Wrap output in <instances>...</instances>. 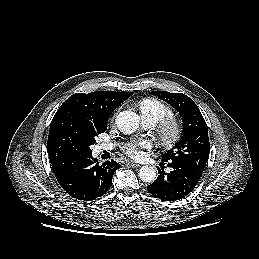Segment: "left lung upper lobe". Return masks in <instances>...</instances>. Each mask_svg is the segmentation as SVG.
I'll return each mask as SVG.
<instances>
[{"instance_id":"1","label":"left lung upper lobe","mask_w":259,"mask_h":259,"mask_svg":"<svg viewBox=\"0 0 259 259\" xmlns=\"http://www.w3.org/2000/svg\"><path fill=\"white\" fill-rule=\"evenodd\" d=\"M150 94L172 105L183 120L181 140L163 154L161 160L187 165L195 173L202 175L209 157L210 143L207 124L199 108L191 98L182 93L153 91Z\"/></svg>"}]
</instances>
